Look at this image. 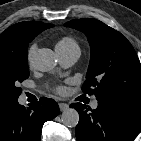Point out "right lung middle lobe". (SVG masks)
Masks as SVG:
<instances>
[{"label": "right lung middle lobe", "mask_w": 141, "mask_h": 141, "mask_svg": "<svg viewBox=\"0 0 141 141\" xmlns=\"http://www.w3.org/2000/svg\"><path fill=\"white\" fill-rule=\"evenodd\" d=\"M27 47L18 53H0V105L16 101L21 94L19 82L29 77Z\"/></svg>", "instance_id": "1"}]
</instances>
